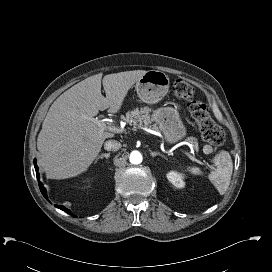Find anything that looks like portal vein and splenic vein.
<instances>
[{"instance_id":"portal-vein-and-splenic-vein-1","label":"portal vein and splenic vein","mask_w":272,"mask_h":272,"mask_svg":"<svg viewBox=\"0 0 272 272\" xmlns=\"http://www.w3.org/2000/svg\"><path fill=\"white\" fill-rule=\"evenodd\" d=\"M95 121H96L98 127H99L101 130H103V131H104V130H108V131L114 132V133H119V132H121V130L118 129L117 127H115V126H107V125L105 124V120H104V119H101V120L95 119ZM184 153H185L192 161L199 162V161L195 158V156L191 155V154L188 153V152H184Z\"/></svg>"}]
</instances>
